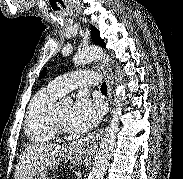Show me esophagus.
Instances as JSON below:
<instances>
[{"instance_id": "1", "label": "esophagus", "mask_w": 183, "mask_h": 179, "mask_svg": "<svg viewBox=\"0 0 183 179\" xmlns=\"http://www.w3.org/2000/svg\"><path fill=\"white\" fill-rule=\"evenodd\" d=\"M101 67L107 78L108 93L109 95H111L113 88V74L111 72V69L105 63H102ZM102 133V129L94 131L93 133L73 144V148L82 153L90 154L95 152L96 148L98 147V143L100 141Z\"/></svg>"}]
</instances>
